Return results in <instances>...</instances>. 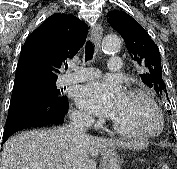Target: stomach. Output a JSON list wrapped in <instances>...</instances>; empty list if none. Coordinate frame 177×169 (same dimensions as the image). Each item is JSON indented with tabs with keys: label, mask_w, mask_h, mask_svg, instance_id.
Returning a JSON list of instances; mask_svg holds the SVG:
<instances>
[{
	"label": "stomach",
	"mask_w": 177,
	"mask_h": 169,
	"mask_svg": "<svg viewBox=\"0 0 177 169\" xmlns=\"http://www.w3.org/2000/svg\"><path fill=\"white\" fill-rule=\"evenodd\" d=\"M121 158L117 151L111 147L102 153V161L99 169H120Z\"/></svg>",
	"instance_id": "0dacf381"
}]
</instances>
